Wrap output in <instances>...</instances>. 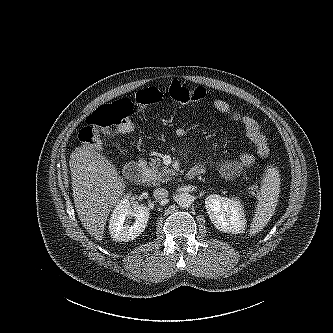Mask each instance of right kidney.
I'll list each match as a JSON object with an SVG mask.
<instances>
[{
    "instance_id": "1",
    "label": "right kidney",
    "mask_w": 333,
    "mask_h": 333,
    "mask_svg": "<svg viewBox=\"0 0 333 333\" xmlns=\"http://www.w3.org/2000/svg\"><path fill=\"white\" fill-rule=\"evenodd\" d=\"M149 208L129 202V195L120 200L109 220V232L113 240L128 242L137 238L145 230L149 220ZM135 217V223L129 226L126 217Z\"/></svg>"
}]
</instances>
